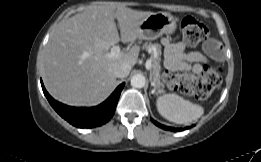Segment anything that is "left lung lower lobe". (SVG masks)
<instances>
[{
	"instance_id": "obj_1",
	"label": "left lung lower lobe",
	"mask_w": 261,
	"mask_h": 162,
	"mask_svg": "<svg viewBox=\"0 0 261 162\" xmlns=\"http://www.w3.org/2000/svg\"><path fill=\"white\" fill-rule=\"evenodd\" d=\"M151 121H152L155 125H157L158 127L162 128V129H164V130H170V131H181V130H182L181 128H173V127L164 126V125H162V124L156 122V121L153 120V119H151ZM187 128H189V127H187Z\"/></svg>"
}]
</instances>
